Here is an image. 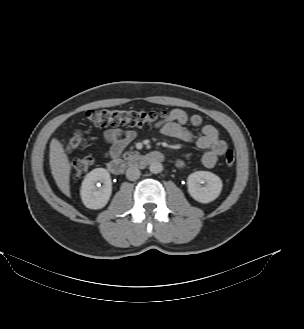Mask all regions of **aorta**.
I'll use <instances>...</instances> for the list:
<instances>
[{
    "label": "aorta",
    "instance_id": "1",
    "mask_svg": "<svg viewBox=\"0 0 304 329\" xmlns=\"http://www.w3.org/2000/svg\"><path fill=\"white\" fill-rule=\"evenodd\" d=\"M149 170L153 174H158L163 170V165L160 162L154 161L150 164Z\"/></svg>",
    "mask_w": 304,
    "mask_h": 329
}]
</instances>
